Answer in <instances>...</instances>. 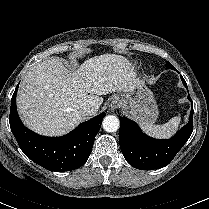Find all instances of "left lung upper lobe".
Listing matches in <instances>:
<instances>
[{
	"label": "left lung upper lobe",
	"mask_w": 209,
	"mask_h": 209,
	"mask_svg": "<svg viewBox=\"0 0 209 209\" xmlns=\"http://www.w3.org/2000/svg\"><path fill=\"white\" fill-rule=\"evenodd\" d=\"M166 66L170 69H174V67L169 62H166Z\"/></svg>",
	"instance_id": "left-lung-upper-lobe-1"
}]
</instances>
